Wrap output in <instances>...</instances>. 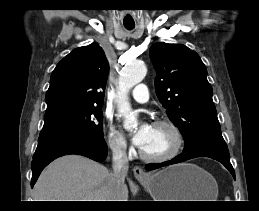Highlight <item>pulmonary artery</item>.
<instances>
[{"mask_svg":"<svg viewBox=\"0 0 259 211\" xmlns=\"http://www.w3.org/2000/svg\"><path fill=\"white\" fill-rule=\"evenodd\" d=\"M133 99L139 103H145L148 101V89L146 85L144 84H139L135 86L131 93Z\"/></svg>","mask_w":259,"mask_h":211,"instance_id":"obj_1","label":"pulmonary artery"}]
</instances>
